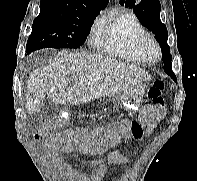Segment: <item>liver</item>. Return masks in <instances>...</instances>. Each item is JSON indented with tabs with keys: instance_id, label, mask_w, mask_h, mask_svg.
<instances>
[{
	"instance_id": "obj_1",
	"label": "liver",
	"mask_w": 197,
	"mask_h": 181,
	"mask_svg": "<svg viewBox=\"0 0 197 181\" xmlns=\"http://www.w3.org/2000/svg\"><path fill=\"white\" fill-rule=\"evenodd\" d=\"M151 78L135 65L102 55L64 50L48 66L38 68L31 75L26 109L31 115L39 112L45 97L56 105L86 103L122 93ZM71 80L74 85L68 87Z\"/></svg>"
}]
</instances>
